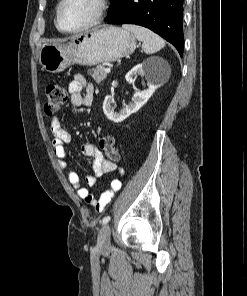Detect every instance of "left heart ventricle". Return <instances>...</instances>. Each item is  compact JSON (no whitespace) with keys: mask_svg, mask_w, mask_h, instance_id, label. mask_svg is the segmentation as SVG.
Wrapping results in <instances>:
<instances>
[{"mask_svg":"<svg viewBox=\"0 0 247 296\" xmlns=\"http://www.w3.org/2000/svg\"><path fill=\"white\" fill-rule=\"evenodd\" d=\"M96 12L94 0H67L60 12V26L73 30L88 23Z\"/></svg>","mask_w":247,"mask_h":296,"instance_id":"b2bd125f","label":"left heart ventricle"}]
</instances>
